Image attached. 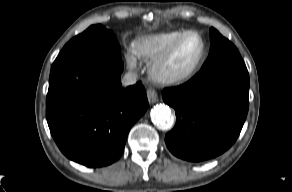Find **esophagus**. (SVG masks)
<instances>
[{
    "instance_id": "esophagus-1",
    "label": "esophagus",
    "mask_w": 292,
    "mask_h": 192,
    "mask_svg": "<svg viewBox=\"0 0 292 192\" xmlns=\"http://www.w3.org/2000/svg\"><path fill=\"white\" fill-rule=\"evenodd\" d=\"M147 99L149 103H156L158 101V94L156 90L154 89H148L147 90Z\"/></svg>"
}]
</instances>
